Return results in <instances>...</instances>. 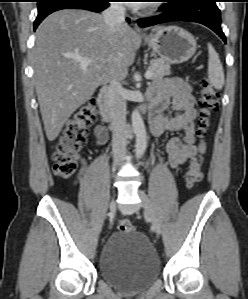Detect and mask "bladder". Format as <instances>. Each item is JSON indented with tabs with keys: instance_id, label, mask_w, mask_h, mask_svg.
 I'll list each match as a JSON object with an SVG mask.
<instances>
[{
	"instance_id": "1",
	"label": "bladder",
	"mask_w": 248,
	"mask_h": 299,
	"mask_svg": "<svg viewBox=\"0 0 248 299\" xmlns=\"http://www.w3.org/2000/svg\"><path fill=\"white\" fill-rule=\"evenodd\" d=\"M102 279L124 292L146 290L160 274V261L145 234L115 232L105 243L99 257Z\"/></svg>"
}]
</instances>
